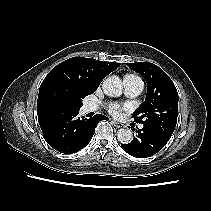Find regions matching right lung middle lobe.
Returning a JSON list of instances; mask_svg holds the SVG:
<instances>
[{"instance_id": "obj_1", "label": "right lung middle lobe", "mask_w": 211, "mask_h": 211, "mask_svg": "<svg viewBox=\"0 0 211 211\" xmlns=\"http://www.w3.org/2000/svg\"><path fill=\"white\" fill-rule=\"evenodd\" d=\"M88 93L65 82H53L44 89L41 101L44 109L49 112L58 110L79 111L83 105L82 99Z\"/></svg>"}]
</instances>
